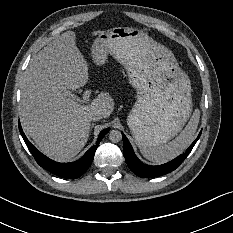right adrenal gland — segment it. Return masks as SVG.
I'll use <instances>...</instances> for the list:
<instances>
[{
  "label": "right adrenal gland",
  "instance_id": "1",
  "mask_svg": "<svg viewBox=\"0 0 233 233\" xmlns=\"http://www.w3.org/2000/svg\"><path fill=\"white\" fill-rule=\"evenodd\" d=\"M94 126V123L91 124V127H90V134H91V130H92V127Z\"/></svg>",
  "mask_w": 233,
  "mask_h": 233
}]
</instances>
